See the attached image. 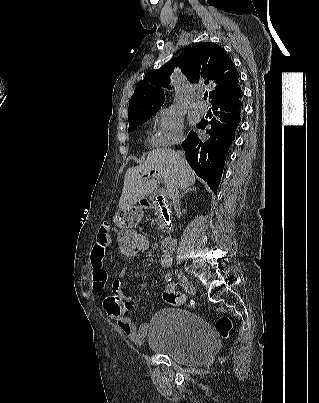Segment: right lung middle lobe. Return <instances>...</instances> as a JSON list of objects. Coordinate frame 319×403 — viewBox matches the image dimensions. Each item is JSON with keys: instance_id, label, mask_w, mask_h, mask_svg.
I'll return each instance as SVG.
<instances>
[{"instance_id": "obj_1", "label": "right lung middle lobe", "mask_w": 319, "mask_h": 403, "mask_svg": "<svg viewBox=\"0 0 319 403\" xmlns=\"http://www.w3.org/2000/svg\"><path fill=\"white\" fill-rule=\"evenodd\" d=\"M158 110H159V109L154 110V111H152V112H150V113H148V114H146V115H144V116H142V117H140V118H138V119H136V120L130 121V122H129L128 132H131V131L135 130L139 125H141V124H143L144 122H146V121H147L152 115H154Z\"/></svg>"}]
</instances>
